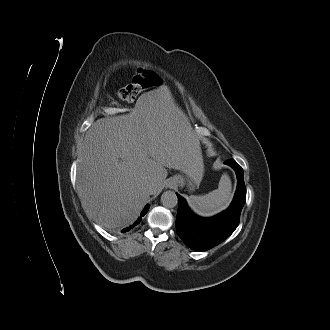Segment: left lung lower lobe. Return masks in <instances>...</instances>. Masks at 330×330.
<instances>
[{
	"label": "left lung lower lobe",
	"instance_id": "1",
	"mask_svg": "<svg viewBox=\"0 0 330 330\" xmlns=\"http://www.w3.org/2000/svg\"><path fill=\"white\" fill-rule=\"evenodd\" d=\"M234 168L238 185L231 205L227 210L212 218H201L191 212L185 200L179 195L176 231L184 243L193 250L205 251L215 247L229 237L237 228L246 196L242 167L234 160L225 161Z\"/></svg>",
	"mask_w": 330,
	"mask_h": 330
}]
</instances>
